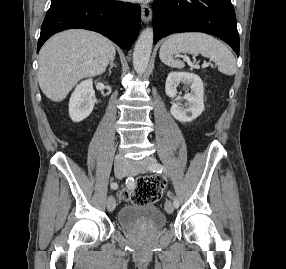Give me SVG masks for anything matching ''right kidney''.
Masks as SVG:
<instances>
[{"mask_svg": "<svg viewBox=\"0 0 286 269\" xmlns=\"http://www.w3.org/2000/svg\"><path fill=\"white\" fill-rule=\"evenodd\" d=\"M94 96L92 79L77 85L69 102V115L73 122H81L91 114L94 108Z\"/></svg>", "mask_w": 286, "mask_h": 269, "instance_id": "right-kidney-1", "label": "right kidney"}]
</instances>
